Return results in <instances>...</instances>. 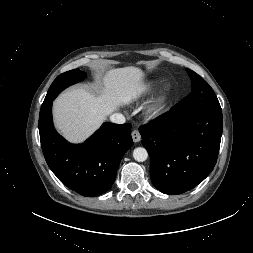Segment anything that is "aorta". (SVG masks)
<instances>
[{"mask_svg": "<svg viewBox=\"0 0 253 253\" xmlns=\"http://www.w3.org/2000/svg\"><path fill=\"white\" fill-rule=\"evenodd\" d=\"M133 158L138 162H143L148 158V152L143 147H137L133 151Z\"/></svg>", "mask_w": 253, "mask_h": 253, "instance_id": "1", "label": "aorta"}]
</instances>
